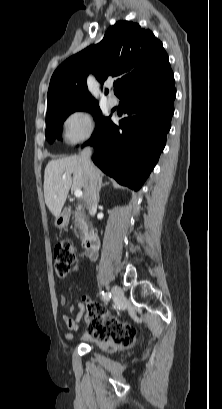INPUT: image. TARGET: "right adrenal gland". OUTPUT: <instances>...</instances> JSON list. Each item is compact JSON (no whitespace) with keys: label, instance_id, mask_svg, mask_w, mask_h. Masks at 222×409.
<instances>
[{"label":"right adrenal gland","instance_id":"1","mask_svg":"<svg viewBox=\"0 0 222 409\" xmlns=\"http://www.w3.org/2000/svg\"><path fill=\"white\" fill-rule=\"evenodd\" d=\"M107 184H109V183H104V184H103V182H102V177H100L99 183H98V189H97V199H98V201L100 200V190H101V188H102L103 186L107 185Z\"/></svg>","mask_w":222,"mask_h":409}]
</instances>
